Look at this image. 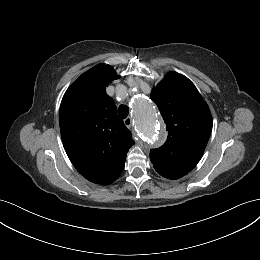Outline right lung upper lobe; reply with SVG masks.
Listing matches in <instances>:
<instances>
[{
  "label": "right lung upper lobe",
  "instance_id": "cb5924a9",
  "mask_svg": "<svg viewBox=\"0 0 260 260\" xmlns=\"http://www.w3.org/2000/svg\"><path fill=\"white\" fill-rule=\"evenodd\" d=\"M118 76L104 63L83 73L63 96L59 123L64 148L77 171L89 181L108 185L125 166L134 144L131 132L116 114L106 87Z\"/></svg>",
  "mask_w": 260,
  "mask_h": 260
}]
</instances>
